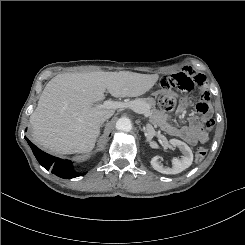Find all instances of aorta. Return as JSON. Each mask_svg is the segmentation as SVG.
Returning a JSON list of instances; mask_svg holds the SVG:
<instances>
[{"label": "aorta", "instance_id": "obj_1", "mask_svg": "<svg viewBox=\"0 0 245 245\" xmlns=\"http://www.w3.org/2000/svg\"><path fill=\"white\" fill-rule=\"evenodd\" d=\"M116 129L118 131L129 132L132 129V124L128 118H120L116 122Z\"/></svg>", "mask_w": 245, "mask_h": 245}]
</instances>
